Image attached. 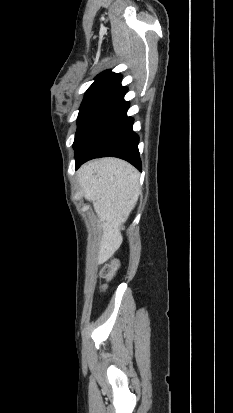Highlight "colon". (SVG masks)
Listing matches in <instances>:
<instances>
[{"label": "colon", "mask_w": 233, "mask_h": 413, "mask_svg": "<svg viewBox=\"0 0 233 413\" xmlns=\"http://www.w3.org/2000/svg\"><path fill=\"white\" fill-rule=\"evenodd\" d=\"M118 269V263L116 261H112L102 268V275L106 280H111Z\"/></svg>", "instance_id": "1"}]
</instances>
